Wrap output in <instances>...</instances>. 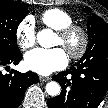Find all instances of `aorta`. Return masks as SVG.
<instances>
[{"instance_id": "aorta-1", "label": "aorta", "mask_w": 108, "mask_h": 108, "mask_svg": "<svg viewBox=\"0 0 108 108\" xmlns=\"http://www.w3.org/2000/svg\"><path fill=\"white\" fill-rule=\"evenodd\" d=\"M54 37V33L51 29H43L37 34L38 43L44 47L49 48L52 45V39ZM61 87L57 82H49L46 85V92L50 96H57L60 93Z\"/></svg>"}]
</instances>
